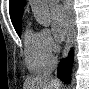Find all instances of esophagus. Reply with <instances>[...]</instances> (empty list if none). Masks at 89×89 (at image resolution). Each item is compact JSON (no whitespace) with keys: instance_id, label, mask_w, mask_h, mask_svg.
Instances as JSON below:
<instances>
[{"instance_id":"obj_1","label":"esophagus","mask_w":89,"mask_h":89,"mask_svg":"<svg viewBox=\"0 0 89 89\" xmlns=\"http://www.w3.org/2000/svg\"><path fill=\"white\" fill-rule=\"evenodd\" d=\"M65 9L68 17V33H67L66 45L64 49V57H66L70 51L71 44L73 41V34H74V19H73L72 6L70 1H66Z\"/></svg>"}]
</instances>
